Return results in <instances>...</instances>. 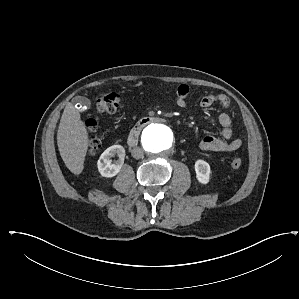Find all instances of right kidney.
<instances>
[{
  "label": "right kidney",
  "instance_id": "ca27d5eb",
  "mask_svg": "<svg viewBox=\"0 0 299 299\" xmlns=\"http://www.w3.org/2000/svg\"><path fill=\"white\" fill-rule=\"evenodd\" d=\"M117 155L119 159L112 163L111 157ZM125 149L121 145H113L107 148L100 156L97 167L103 177H113L117 175L124 163Z\"/></svg>",
  "mask_w": 299,
  "mask_h": 299
}]
</instances>
